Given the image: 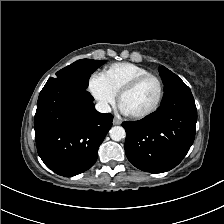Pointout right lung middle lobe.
Wrapping results in <instances>:
<instances>
[{
    "instance_id": "obj_1",
    "label": "right lung middle lobe",
    "mask_w": 224,
    "mask_h": 224,
    "mask_svg": "<svg viewBox=\"0 0 224 224\" xmlns=\"http://www.w3.org/2000/svg\"><path fill=\"white\" fill-rule=\"evenodd\" d=\"M105 61L81 59L61 69L55 78H49L47 82H62L76 88L87 89L91 74Z\"/></svg>"
}]
</instances>
